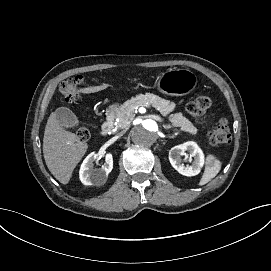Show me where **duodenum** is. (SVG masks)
<instances>
[{
  "instance_id": "obj_1",
  "label": "duodenum",
  "mask_w": 271,
  "mask_h": 271,
  "mask_svg": "<svg viewBox=\"0 0 271 271\" xmlns=\"http://www.w3.org/2000/svg\"><path fill=\"white\" fill-rule=\"evenodd\" d=\"M113 126H114V114L111 112L107 115L104 123L102 124L101 134L103 136H108L111 133Z\"/></svg>"
}]
</instances>
